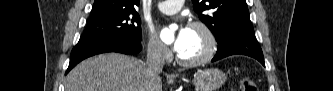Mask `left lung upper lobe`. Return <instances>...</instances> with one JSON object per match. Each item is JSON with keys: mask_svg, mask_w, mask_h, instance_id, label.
<instances>
[{"mask_svg": "<svg viewBox=\"0 0 333 91\" xmlns=\"http://www.w3.org/2000/svg\"><path fill=\"white\" fill-rule=\"evenodd\" d=\"M192 2L195 12L212 31L217 41L234 29L252 26L245 0H192Z\"/></svg>", "mask_w": 333, "mask_h": 91, "instance_id": "1", "label": "left lung upper lobe"}]
</instances>
